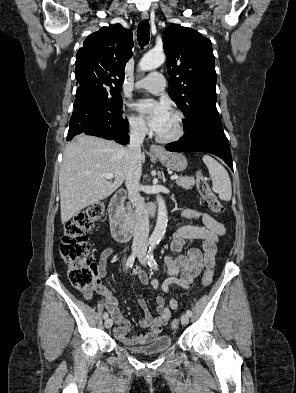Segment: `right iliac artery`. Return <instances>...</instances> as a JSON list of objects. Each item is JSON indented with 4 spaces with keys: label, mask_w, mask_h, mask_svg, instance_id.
Instances as JSON below:
<instances>
[{
    "label": "right iliac artery",
    "mask_w": 296,
    "mask_h": 393,
    "mask_svg": "<svg viewBox=\"0 0 296 393\" xmlns=\"http://www.w3.org/2000/svg\"><path fill=\"white\" fill-rule=\"evenodd\" d=\"M135 258H136V253H133L132 255H130V256L128 257L127 262H126L127 268H131V267L133 266L134 261H135ZM108 316H109V315H108L107 312H105V313L103 314V318H104V319H107Z\"/></svg>",
    "instance_id": "1"
}]
</instances>
